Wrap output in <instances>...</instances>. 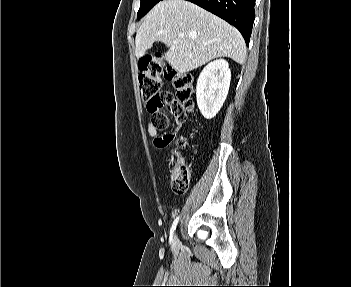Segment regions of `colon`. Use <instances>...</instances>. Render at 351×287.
<instances>
[{
    "mask_svg": "<svg viewBox=\"0 0 351 287\" xmlns=\"http://www.w3.org/2000/svg\"><path fill=\"white\" fill-rule=\"evenodd\" d=\"M164 75H167L173 84L175 99L169 92H160ZM138 85L146 107L153 115L151 124L158 131L168 126V115L164 110L167 104H171L170 112L179 118H185L186 113L194 107L192 74L166 68L159 55L146 56L140 61ZM178 146H185L183 139L178 140ZM166 164L170 169L174 192L185 193L193 179L192 169L177 154L168 157Z\"/></svg>",
    "mask_w": 351,
    "mask_h": 287,
    "instance_id": "colon-1",
    "label": "colon"
}]
</instances>
